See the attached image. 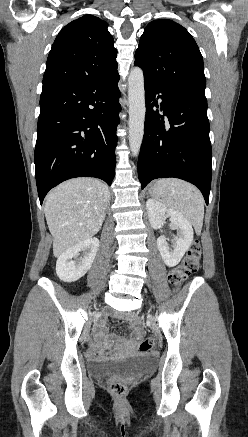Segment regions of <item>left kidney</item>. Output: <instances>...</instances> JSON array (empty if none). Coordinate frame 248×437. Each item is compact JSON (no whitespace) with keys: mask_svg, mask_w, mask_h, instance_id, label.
Here are the masks:
<instances>
[{"mask_svg":"<svg viewBox=\"0 0 248 437\" xmlns=\"http://www.w3.org/2000/svg\"><path fill=\"white\" fill-rule=\"evenodd\" d=\"M146 209L150 224L154 229H160L168 215L170 216L173 228L178 231L171 245L167 242L165 236H160L157 239V247L165 265L168 267L176 266L193 241V228L191 224L180 213L167 208L156 199H148Z\"/></svg>","mask_w":248,"mask_h":437,"instance_id":"obj_1","label":"left kidney"}]
</instances>
